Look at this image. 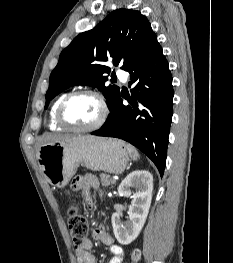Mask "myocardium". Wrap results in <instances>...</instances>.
I'll return each mask as SVG.
<instances>
[{
    "instance_id": "obj_1",
    "label": "myocardium",
    "mask_w": 233,
    "mask_h": 263,
    "mask_svg": "<svg viewBox=\"0 0 233 263\" xmlns=\"http://www.w3.org/2000/svg\"><path fill=\"white\" fill-rule=\"evenodd\" d=\"M79 96H91L93 98H95L99 105H100V116L98 118V120L88 126V127H76L71 125L64 116V111L65 108L67 106V104L74 98L79 97ZM108 115V105L107 102L105 100V98L103 97L102 94H100L97 91H93V90H78V91H74L71 92L69 94H67L62 101L60 102L58 109H57V122L65 129L70 130V131H74V132H79V133H86V132H93L98 130L99 128L102 127V125L104 124L106 118Z\"/></svg>"
}]
</instances>
